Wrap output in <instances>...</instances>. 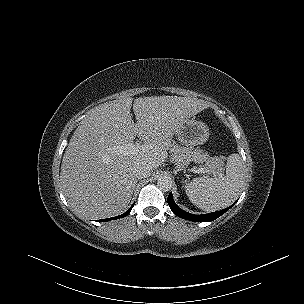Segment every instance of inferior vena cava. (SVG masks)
<instances>
[{
    "label": "inferior vena cava",
    "mask_w": 304,
    "mask_h": 304,
    "mask_svg": "<svg viewBox=\"0 0 304 304\" xmlns=\"http://www.w3.org/2000/svg\"><path fill=\"white\" fill-rule=\"evenodd\" d=\"M153 168L148 164L137 165L134 170V175L137 179L147 178L151 176Z\"/></svg>",
    "instance_id": "inferior-vena-cava-1"
}]
</instances>
